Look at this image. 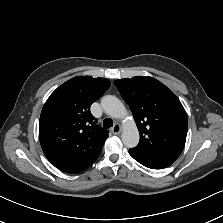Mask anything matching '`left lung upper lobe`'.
I'll use <instances>...</instances> for the list:
<instances>
[{
  "label": "left lung upper lobe",
  "mask_w": 223,
  "mask_h": 223,
  "mask_svg": "<svg viewBox=\"0 0 223 223\" xmlns=\"http://www.w3.org/2000/svg\"><path fill=\"white\" fill-rule=\"evenodd\" d=\"M132 110L140 142L129 150L137 157L172 164L181 154L187 136L185 109L175 94L147 76L114 82Z\"/></svg>",
  "instance_id": "1"
}]
</instances>
